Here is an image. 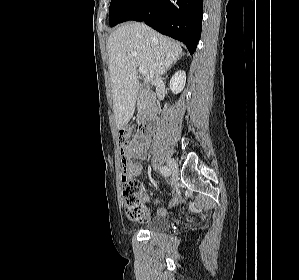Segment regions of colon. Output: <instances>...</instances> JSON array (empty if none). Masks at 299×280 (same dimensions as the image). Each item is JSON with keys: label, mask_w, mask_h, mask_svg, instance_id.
I'll list each match as a JSON object with an SVG mask.
<instances>
[{"label": "colon", "mask_w": 299, "mask_h": 280, "mask_svg": "<svg viewBox=\"0 0 299 280\" xmlns=\"http://www.w3.org/2000/svg\"><path fill=\"white\" fill-rule=\"evenodd\" d=\"M137 138V130L132 126L123 127L119 131L122 158V199L123 207L128 218L133 221H143L146 216V210L141 200L142 183L133 176L125 152V147Z\"/></svg>", "instance_id": "obj_1"}]
</instances>
